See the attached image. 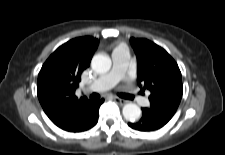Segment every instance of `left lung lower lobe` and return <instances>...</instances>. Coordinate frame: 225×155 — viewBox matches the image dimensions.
I'll list each match as a JSON object with an SVG mask.
<instances>
[{
  "label": "left lung lower lobe",
  "instance_id": "0a47b994",
  "mask_svg": "<svg viewBox=\"0 0 225 155\" xmlns=\"http://www.w3.org/2000/svg\"><path fill=\"white\" fill-rule=\"evenodd\" d=\"M174 113L161 109H142V117L136 122H129L132 129L148 132L162 128L173 117Z\"/></svg>",
  "mask_w": 225,
  "mask_h": 155
}]
</instances>
